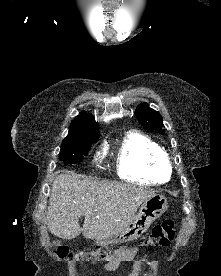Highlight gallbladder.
<instances>
[{
    "instance_id": "gallbladder-1",
    "label": "gallbladder",
    "mask_w": 221,
    "mask_h": 276,
    "mask_svg": "<svg viewBox=\"0 0 221 276\" xmlns=\"http://www.w3.org/2000/svg\"><path fill=\"white\" fill-rule=\"evenodd\" d=\"M54 243H55L56 245H60V241H59V240H56Z\"/></svg>"
}]
</instances>
